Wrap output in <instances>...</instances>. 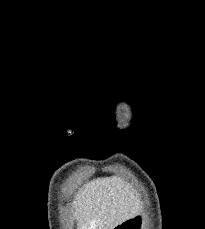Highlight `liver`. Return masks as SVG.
Instances as JSON below:
<instances>
[{"instance_id":"1","label":"liver","mask_w":205,"mask_h":229,"mask_svg":"<svg viewBox=\"0 0 205 229\" xmlns=\"http://www.w3.org/2000/svg\"><path fill=\"white\" fill-rule=\"evenodd\" d=\"M78 229H113L138 210L128 187L115 177L84 185L73 202Z\"/></svg>"}]
</instances>
